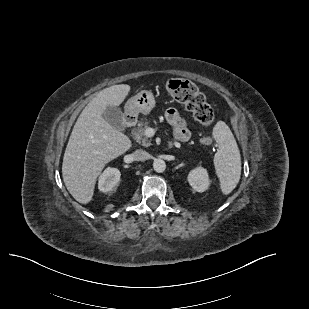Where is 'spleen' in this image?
Wrapping results in <instances>:
<instances>
[{"label":"spleen","mask_w":309,"mask_h":309,"mask_svg":"<svg viewBox=\"0 0 309 309\" xmlns=\"http://www.w3.org/2000/svg\"><path fill=\"white\" fill-rule=\"evenodd\" d=\"M213 137L218 144L214 166L224 195L230 194L237 186L241 175V156L236 140L225 122L219 121L213 128Z\"/></svg>","instance_id":"3e777b00"}]
</instances>
